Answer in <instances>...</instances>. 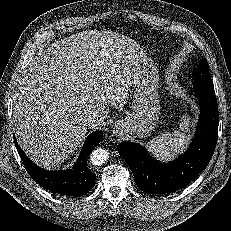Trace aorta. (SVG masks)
<instances>
[{
	"instance_id": "obj_1",
	"label": "aorta",
	"mask_w": 231,
	"mask_h": 231,
	"mask_svg": "<svg viewBox=\"0 0 231 231\" xmlns=\"http://www.w3.org/2000/svg\"><path fill=\"white\" fill-rule=\"evenodd\" d=\"M108 151L104 148H97L92 151L90 161L93 165L101 166L108 160Z\"/></svg>"
}]
</instances>
